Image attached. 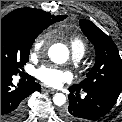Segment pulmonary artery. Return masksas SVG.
<instances>
[{"label": "pulmonary artery", "mask_w": 122, "mask_h": 122, "mask_svg": "<svg viewBox=\"0 0 122 122\" xmlns=\"http://www.w3.org/2000/svg\"><path fill=\"white\" fill-rule=\"evenodd\" d=\"M72 55H73V59L75 61H79L83 57V54L81 52H78V51H73Z\"/></svg>", "instance_id": "e3ab8cb5"}]
</instances>
